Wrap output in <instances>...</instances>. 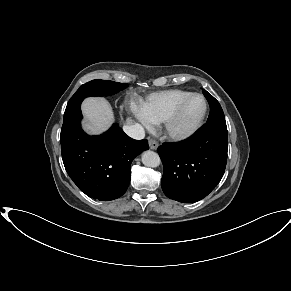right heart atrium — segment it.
Instances as JSON below:
<instances>
[{
    "label": "right heart atrium",
    "mask_w": 291,
    "mask_h": 291,
    "mask_svg": "<svg viewBox=\"0 0 291 291\" xmlns=\"http://www.w3.org/2000/svg\"><path fill=\"white\" fill-rule=\"evenodd\" d=\"M132 111L134 112V114L136 115V117L144 124L148 125L150 122L147 121V119L144 117V115L142 114L141 110L138 109L135 106H132Z\"/></svg>",
    "instance_id": "obj_1"
}]
</instances>
